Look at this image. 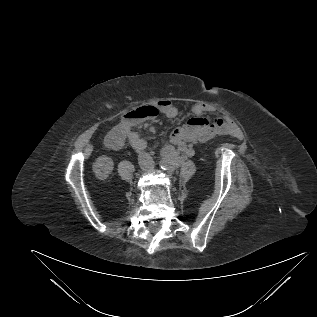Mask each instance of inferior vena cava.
Here are the masks:
<instances>
[{
    "instance_id": "inferior-vena-cava-1",
    "label": "inferior vena cava",
    "mask_w": 317,
    "mask_h": 317,
    "mask_svg": "<svg viewBox=\"0 0 317 317\" xmlns=\"http://www.w3.org/2000/svg\"><path fill=\"white\" fill-rule=\"evenodd\" d=\"M138 161L139 165L143 169H151L154 166V161L147 152H141L138 156Z\"/></svg>"
}]
</instances>
